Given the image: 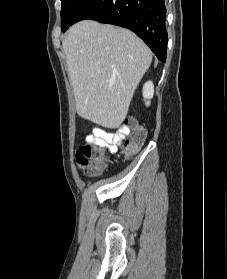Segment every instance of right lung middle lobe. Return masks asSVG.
Wrapping results in <instances>:
<instances>
[{
	"label": "right lung middle lobe",
	"instance_id": "1",
	"mask_svg": "<svg viewBox=\"0 0 227 279\" xmlns=\"http://www.w3.org/2000/svg\"><path fill=\"white\" fill-rule=\"evenodd\" d=\"M84 0H61V24L62 31H66L72 25L74 16Z\"/></svg>",
	"mask_w": 227,
	"mask_h": 279
}]
</instances>
